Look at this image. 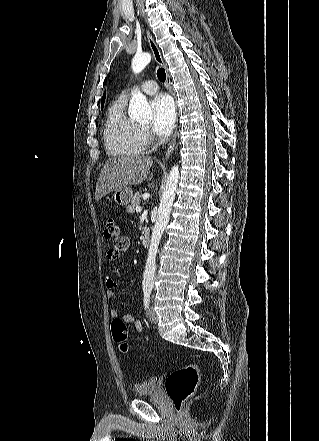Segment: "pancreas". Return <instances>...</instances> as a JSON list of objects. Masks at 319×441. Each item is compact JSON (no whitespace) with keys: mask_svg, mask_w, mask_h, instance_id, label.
Wrapping results in <instances>:
<instances>
[{"mask_svg":"<svg viewBox=\"0 0 319 441\" xmlns=\"http://www.w3.org/2000/svg\"><path fill=\"white\" fill-rule=\"evenodd\" d=\"M141 195L137 192L134 197L131 200V203L127 205L126 210L128 213H134L136 210V207L139 206L141 200Z\"/></svg>","mask_w":319,"mask_h":441,"instance_id":"pancreas-1","label":"pancreas"}]
</instances>
